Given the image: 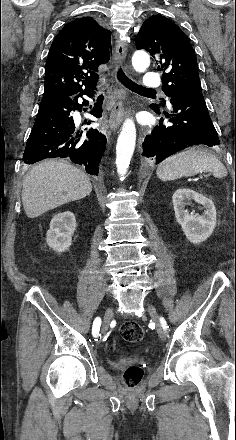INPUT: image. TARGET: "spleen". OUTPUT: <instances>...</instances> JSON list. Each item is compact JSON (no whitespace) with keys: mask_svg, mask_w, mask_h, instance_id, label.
Masks as SVG:
<instances>
[{"mask_svg":"<svg viewBox=\"0 0 236 440\" xmlns=\"http://www.w3.org/2000/svg\"><path fill=\"white\" fill-rule=\"evenodd\" d=\"M199 172H210L217 178L227 175L225 166L216 156L195 148L168 157L159 164L156 174L162 181H173Z\"/></svg>","mask_w":236,"mask_h":440,"instance_id":"obj_1","label":"spleen"}]
</instances>
